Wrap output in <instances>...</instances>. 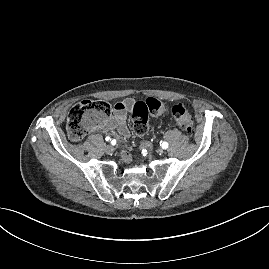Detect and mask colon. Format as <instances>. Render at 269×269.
Here are the masks:
<instances>
[{"label": "colon", "instance_id": "obj_1", "mask_svg": "<svg viewBox=\"0 0 269 269\" xmlns=\"http://www.w3.org/2000/svg\"><path fill=\"white\" fill-rule=\"evenodd\" d=\"M165 111L164 105L157 99L148 98L138 101L133 106L132 119L134 132L142 136L148 131V118ZM110 113L108 103L100 100H84L75 104L67 117V134L71 140L78 141L84 138L91 130L100 127ZM171 114L176 123L187 133L194 130V121L191 113L181 104L171 108Z\"/></svg>", "mask_w": 269, "mask_h": 269}]
</instances>
